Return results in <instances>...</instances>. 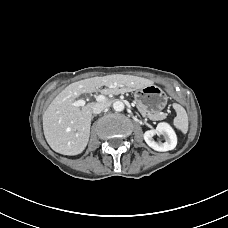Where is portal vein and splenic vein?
I'll use <instances>...</instances> for the list:
<instances>
[{
    "label": "portal vein and splenic vein",
    "mask_w": 228,
    "mask_h": 228,
    "mask_svg": "<svg viewBox=\"0 0 228 228\" xmlns=\"http://www.w3.org/2000/svg\"><path fill=\"white\" fill-rule=\"evenodd\" d=\"M96 100H97V101H100V102H103V101L106 100V98H105V96H103V95H98V96H96ZM85 104H86V100H84V99H79V100H77V101H75V102L73 103V106H75V107H83V106H85Z\"/></svg>",
    "instance_id": "1"
}]
</instances>
